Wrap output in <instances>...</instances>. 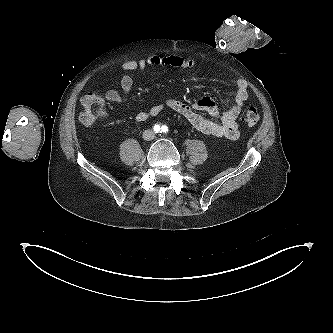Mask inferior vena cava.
Listing matches in <instances>:
<instances>
[{"label":"inferior vena cava","instance_id":"1","mask_svg":"<svg viewBox=\"0 0 333 333\" xmlns=\"http://www.w3.org/2000/svg\"><path fill=\"white\" fill-rule=\"evenodd\" d=\"M143 138L145 140H152L154 138V132L152 130H145L143 132Z\"/></svg>","mask_w":333,"mask_h":333}]
</instances>
